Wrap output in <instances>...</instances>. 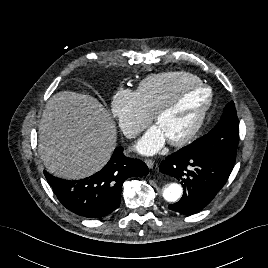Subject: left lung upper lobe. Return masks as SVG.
Listing matches in <instances>:
<instances>
[{"label":"left lung upper lobe","mask_w":268,"mask_h":268,"mask_svg":"<svg viewBox=\"0 0 268 268\" xmlns=\"http://www.w3.org/2000/svg\"><path fill=\"white\" fill-rule=\"evenodd\" d=\"M239 141V122L234 103L227 104L220 121L206 135L180 149L187 154L220 157L235 163Z\"/></svg>","instance_id":"5c2ea615"}]
</instances>
